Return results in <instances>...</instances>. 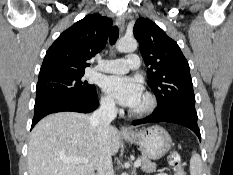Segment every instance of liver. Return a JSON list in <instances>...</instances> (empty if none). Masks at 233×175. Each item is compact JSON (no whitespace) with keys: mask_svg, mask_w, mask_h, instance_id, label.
<instances>
[{"mask_svg":"<svg viewBox=\"0 0 233 175\" xmlns=\"http://www.w3.org/2000/svg\"><path fill=\"white\" fill-rule=\"evenodd\" d=\"M90 115L59 112L39 121L31 132L28 148L29 175H94L102 142ZM108 146L117 154L120 138L117 128L109 127ZM86 158L88 164L66 162Z\"/></svg>","mask_w":233,"mask_h":175,"instance_id":"6515ba94","label":"liver"}]
</instances>
